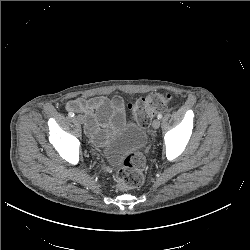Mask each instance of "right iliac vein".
Masks as SVG:
<instances>
[{"label":"right iliac vein","instance_id":"1","mask_svg":"<svg viewBox=\"0 0 250 250\" xmlns=\"http://www.w3.org/2000/svg\"><path fill=\"white\" fill-rule=\"evenodd\" d=\"M75 120L80 123V124H83L84 123V118L82 115H78L75 117Z\"/></svg>","mask_w":250,"mask_h":250}]
</instances>
